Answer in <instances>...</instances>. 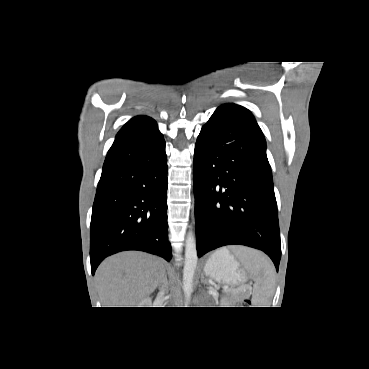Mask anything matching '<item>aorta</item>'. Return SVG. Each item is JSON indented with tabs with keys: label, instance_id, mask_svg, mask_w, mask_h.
<instances>
[{
	"label": "aorta",
	"instance_id": "1",
	"mask_svg": "<svg viewBox=\"0 0 369 369\" xmlns=\"http://www.w3.org/2000/svg\"><path fill=\"white\" fill-rule=\"evenodd\" d=\"M198 261L195 238L192 232H188L185 243V262L183 269V291L187 299L193 291V277Z\"/></svg>",
	"mask_w": 369,
	"mask_h": 369
}]
</instances>
